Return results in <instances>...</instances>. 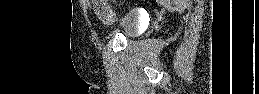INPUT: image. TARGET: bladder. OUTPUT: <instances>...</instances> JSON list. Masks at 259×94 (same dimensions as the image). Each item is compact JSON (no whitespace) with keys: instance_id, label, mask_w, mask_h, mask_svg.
Masks as SVG:
<instances>
[{"instance_id":"obj_1","label":"bladder","mask_w":259,"mask_h":94,"mask_svg":"<svg viewBox=\"0 0 259 94\" xmlns=\"http://www.w3.org/2000/svg\"><path fill=\"white\" fill-rule=\"evenodd\" d=\"M98 17L105 32L120 34L126 38H134L141 33L142 23L137 10L131 9L124 13L97 9Z\"/></svg>"}]
</instances>
